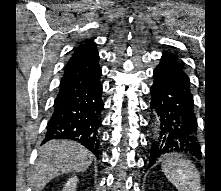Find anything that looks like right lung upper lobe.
Returning <instances> with one entry per match:
<instances>
[{
  "label": "right lung upper lobe",
  "mask_w": 221,
  "mask_h": 191,
  "mask_svg": "<svg viewBox=\"0 0 221 191\" xmlns=\"http://www.w3.org/2000/svg\"><path fill=\"white\" fill-rule=\"evenodd\" d=\"M96 45L92 40H89L85 44L81 45L79 48H77L71 57L70 60L76 59L78 57L84 56V55H90L93 53H97ZM69 60V61H70Z\"/></svg>",
  "instance_id": "1"
}]
</instances>
